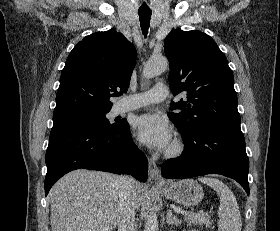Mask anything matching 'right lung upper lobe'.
Returning a JSON list of instances; mask_svg holds the SVG:
<instances>
[{
	"mask_svg": "<svg viewBox=\"0 0 280 231\" xmlns=\"http://www.w3.org/2000/svg\"><path fill=\"white\" fill-rule=\"evenodd\" d=\"M136 56L134 46L114 29L86 36L62 70L53 125L108 113L109 98L129 88Z\"/></svg>",
	"mask_w": 280,
	"mask_h": 231,
	"instance_id": "cb5924a9",
	"label": "right lung upper lobe"
}]
</instances>
